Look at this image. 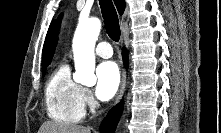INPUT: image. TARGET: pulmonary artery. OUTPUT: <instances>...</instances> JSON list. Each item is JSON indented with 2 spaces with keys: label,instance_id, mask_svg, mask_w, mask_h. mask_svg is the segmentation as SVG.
Returning <instances> with one entry per match:
<instances>
[{
  "label": "pulmonary artery",
  "instance_id": "1",
  "mask_svg": "<svg viewBox=\"0 0 221 133\" xmlns=\"http://www.w3.org/2000/svg\"><path fill=\"white\" fill-rule=\"evenodd\" d=\"M95 52L99 57H102V58H110L113 55L112 47L110 43L107 41L100 42L97 45Z\"/></svg>",
  "mask_w": 221,
  "mask_h": 133
}]
</instances>
